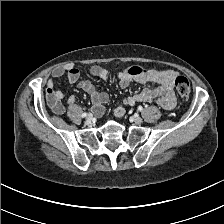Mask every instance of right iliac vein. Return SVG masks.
I'll use <instances>...</instances> for the list:
<instances>
[{
    "instance_id": "1",
    "label": "right iliac vein",
    "mask_w": 224,
    "mask_h": 224,
    "mask_svg": "<svg viewBox=\"0 0 224 224\" xmlns=\"http://www.w3.org/2000/svg\"><path fill=\"white\" fill-rule=\"evenodd\" d=\"M91 120H92V115L88 114L87 117H86V121L91 122Z\"/></svg>"
}]
</instances>
